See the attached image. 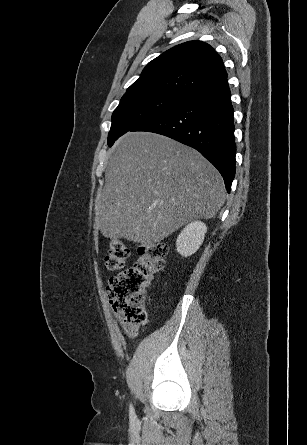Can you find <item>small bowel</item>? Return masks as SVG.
Returning <instances> with one entry per match:
<instances>
[{
	"instance_id": "1",
	"label": "small bowel",
	"mask_w": 307,
	"mask_h": 445,
	"mask_svg": "<svg viewBox=\"0 0 307 445\" xmlns=\"http://www.w3.org/2000/svg\"><path fill=\"white\" fill-rule=\"evenodd\" d=\"M116 320L119 323V325L124 329L126 334L130 337H135L138 333V325L137 324H131L126 322L120 314L116 313Z\"/></svg>"
}]
</instances>
